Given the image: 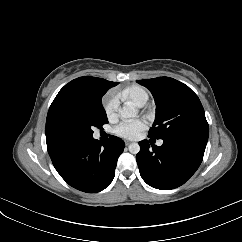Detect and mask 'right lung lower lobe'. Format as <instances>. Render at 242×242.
Instances as JSON below:
<instances>
[{
    "instance_id": "1",
    "label": "right lung lower lobe",
    "mask_w": 242,
    "mask_h": 242,
    "mask_svg": "<svg viewBox=\"0 0 242 242\" xmlns=\"http://www.w3.org/2000/svg\"><path fill=\"white\" fill-rule=\"evenodd\" d=\"M124 141L111 136L104 144L92 136L74 134L47 144L52 163L72 187L87 193L105 189L113 180Z\"/></svg>"
}]
</instances>
